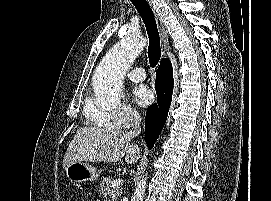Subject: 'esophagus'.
Segmentation results:
<instances>
[{
  "label": "esophagus",
  "instance_id": "esophagus-1",
  "mask_svg": "<svg viewBox=\"0 0 271 201\" xmlns=\"http://www.w3.org/2000/svg\"><path fill=\"white\" fill-rule=\"evenodd\" d=\"M155 17L156 20V24L160 33V38H161V47L163 50V53L165 54V52L167 50H169L170 46H169V38H168V34H167V30L166 27L161 19V17L159 16V14L156 12V10L154 9L151 0H147Z\"/></svg>",
  "mask_w": 271,
  "mask_h": 201
}]
</instances>
